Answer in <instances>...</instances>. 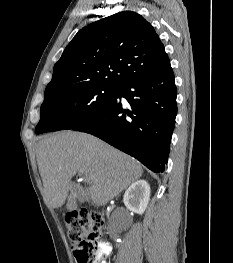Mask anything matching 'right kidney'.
<instances>
[{
    "label": "right kidney",
    "mask_w": 233,
    "mask_h": 263,
    "mask_svg": "<svg viewBox=\"0 0 233 263\" xmlns=\"http://www.w3.org/2000/svg\"><path fill=\"white\" fill-rule=\"evenodd\" d=\"M150 199V186L145 180H137L126 190L123 202L128 210L143 214Z\"/></svg>",
    "instance_id": "right-kidney-1"
}]
</instances>
